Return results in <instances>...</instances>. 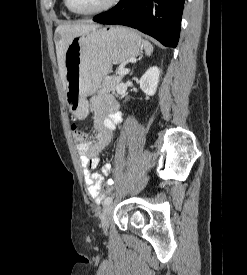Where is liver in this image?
<instances>
[{
    "label": "liver",
    "mask_w": 247,
    "mask_h": 275,
    "mask_svg": "<svg viewBox=\"0 0 247 275\" xmlns=\"http://www.w3.org/2000/svg\"><path fill=\"white\" fill-rule=\"evenodd\" d=\"M99 27L100 26L97 24L79 23V24H63V25H59L56 28L55 34L56 36L59 37V39L55 41L57 62H58L59 74L63 83L64 90L67 89L66 79H65V65H64L66 49L68 48L70 42L74 37L89 33L93 30H96Z\"/></svg>",
    "instance_id": "6515ba94"
}]
</instances>
